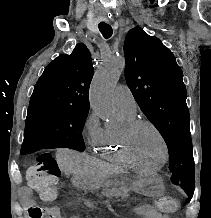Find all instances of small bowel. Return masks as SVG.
Masks as SVG:
<instances>
[{
    "label": "small bowel",
    "mask_w": 211,
    "mask_h": 218,
    "mask_svg": "<svg viewBox=\"0 0 211 218\" xmlns=\"http://www.w3.org/2000/svg\"><path fill=\"white\" fill-rule=\"evenodd\" d=\"M23 205L32 207L34 205L33 192L28 187H23L20 192ZM86 206H91L90 202L85 203ZM136 214L144 218H165L155 208L149 205H142L136 208ZM48 218H61L60 210L57 207L47 209Z\"/></svg>",
    "instance_id": "small-bowel-1"
}]
</instances>
